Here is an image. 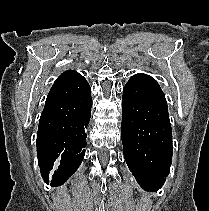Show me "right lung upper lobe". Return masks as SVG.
Wrapping results in <instances>:
<instances>
[{
	"label": "right lung upper lobe",
	"mask_w": 209,
	"mask_h": 211,
	"mask_svg": "<svg viewBox=\"0 0 209 211\" xmlns=\"http://www.w3.org/2000/svg\"><path fill=\"white\" fill-rule=\"evenodd\" d=\"M70 72H72V71H66V72H64L63 74H61V75L58 77V79L61 78V77H63V76H65L66 74H68V73H70Z\"/></svg>",
	"instance_id": "right-lung-upper-lobe-1"
}]
</instances>
